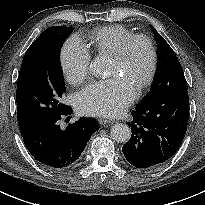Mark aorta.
<instances>
[{
  "label": "aorta",
  "instance_id": "obj_1",
  "mask_svg": "<svg viewBox=\"0 0 205 205\" xmlns=\"http://www.w3.org/2000/svg\"><path fill=\"white\" fill-rule=\"evenodd\" d=\"M90 70L95 76L102 77L106 75V62L103 58L97 57L90 65ZM111 138L118 143H126L131 137V130L128 125L116 123L110 130Z\"/></svg>",
  "mask_w": 205,
  "mask_h": 205
}]
</instances>
